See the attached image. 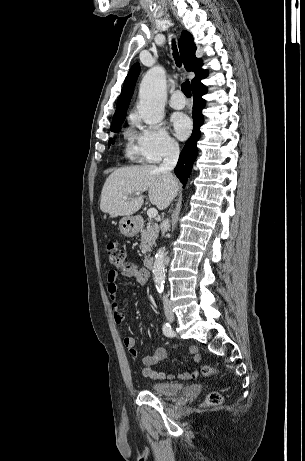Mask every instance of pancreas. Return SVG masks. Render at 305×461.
I'll return each mask as SVG.
<instances>
[{"label": "pancreas", "instance_id": "pancreas-1", "mask_svg": "<svg viewBox=\"0 0 305 461\" xmlns=\"http://www.w3.org/2000/svg\"><path fill=\"white\" fill-rule=\"evenodd\" d=\"M159 227L157 224L148 223L147 228L141 232V252L147 256L158 237Z\"/></svg>", "mask_w": 305, "mask_h": 461}]
</instances>
